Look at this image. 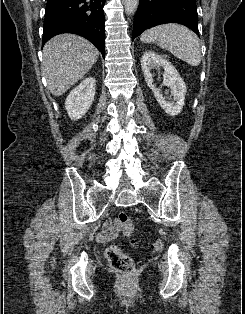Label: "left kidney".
<instances>
[{"label":"left kidney","instance_id":"obj_1","mask_svg":"<svg viewBox=\"0 0 245 314\" xmlns=\"http://www.w3.org/2000/svg\"><path fill=\"white\" fill-rule=\"evenodd\" d=\"M141 67L148 87L154 93V96L161 108L170 116L178 115L184 105L186 85L180 77L175 67L163 56L153 51L145 52L141 58ZM157 67L164 69L163 85L170 87L172 98L168 101L161 94V90L154 85L151 70Z\"/></svg>","mask_w":245,"mask_h":314}]
</instances>
